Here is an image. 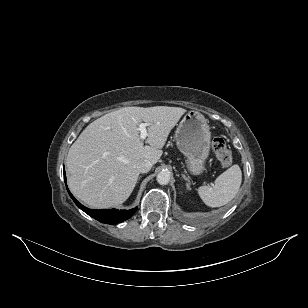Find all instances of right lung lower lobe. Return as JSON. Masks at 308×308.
<instances>
[{"label": "right lung lower lobe", "mask_w": 308, "mask_h": 308, "mask_svg": "<svg viewBox=\"0 0 308 308\" xmlns=\"http://www.w3.org/2000/svg\"><path fill=\"white\" fill-rule=\"evenodd\" d=\"M64 180L66 183V175L64 171ZM67 187V185H66ZM68 190V188H67ZM68 193L70 194V197L73 199L75 204L83 210L85 213H87L89 216L93 217L94 219L106 223V224H116L120 223L122 221H125L129 219L135 212L137 208L131 209V210H117V209H103V210H94V209H89L87 207H84L81 205L70 193L68 190Z\"/></svg>", "instance_id": "right-lung-lower-lobe-1"}]
</instances>
